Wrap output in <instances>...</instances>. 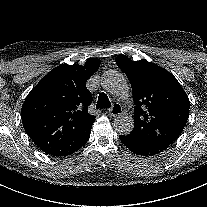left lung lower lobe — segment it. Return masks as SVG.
<instances>
[{"label": "left lung lower lobe", "instance_id": "obj_1", "mask_svg": "<svg viewBox=\"0 0 207 207\" xmlns=\"http://www.w3.org/2000/svg\"><path fill=\"white\" fill-rule=\"evenodd\" d=\"M119 138L127 148H129L132 152H134L138 155L152 156V155H156L161 152L157 149L147 147L141 143L134 142L127 135L126 136L120 135Z\"/></svg>", "mask_w": 207, "mask_h": 207}]
</instances>
